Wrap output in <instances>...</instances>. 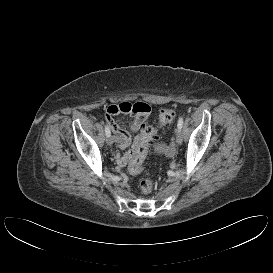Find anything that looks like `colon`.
I'll use <instances>...</instances> for the list:
<instances>
[{
	"instance_id": "5ec220e1",
	"label": "colon",
	"mask_w": 273,
	"mask_h": 273,
	"mask_svg": "<svg viewBox=\"0 0 273 273\" xmlns=\"http://www.w3.org/2000/svg\"><path fill=\"white\" fill-rule=\"evenodd\" d=\"M176 116L173 109H163L158 116V125L171 123ZM157 132V126L145 125L141 132V138L134 147L133 155L129 161L128 170L131 174H140L144 169V162L147 156L150 142L153 140ZM141 191L148 194L152 191L153 182L149 178H142L139 181Z\"/></svg>"
}]
</instances>
